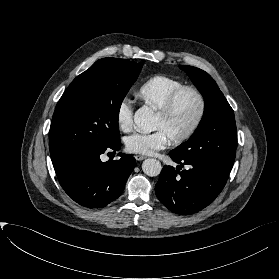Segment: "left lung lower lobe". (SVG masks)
Returning <instances> with one entry per match:
<instances>
[{"label":"left lung lower lobe","instance_id":"obj_1","mask_svg":"<svg viewBox=\"0 0 279 279\" xmlns=\"http://www.w3.org/2000/svg\"><path fill=\"white\" fill-rule=\"evenodd\" d=\"M169 155L182 165L176 169L163 167L155 186L160 202L179 215L198 212L212 203L224 188L230 171L212 162L183 160L172 152ZM184 164L190 169L180 171Z\"/></svg>","mask_w":279,"mask_h":279}]
</instances>
